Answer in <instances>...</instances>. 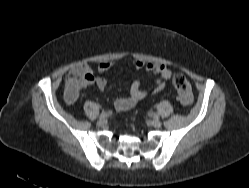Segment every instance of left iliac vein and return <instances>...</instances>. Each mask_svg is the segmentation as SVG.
Listing matches in <instances>:
<instances>
[{"label":"left iliac vein","instance_id":"left-iliac-vein-1","mask_svg":"<svg viewBox=\"0 0 249 188\" xmlns=\"http://www.w3.org/2000/svg\"><path fill=\"white\" fill-rule=\"evenodd\" d=\"M150 123H151L152 126L157 127V128L161 127V125H162V122L159 119H156V118L151 120Z\"/></svg>","mask_w":249,"mask_h":188}]
</instances>
